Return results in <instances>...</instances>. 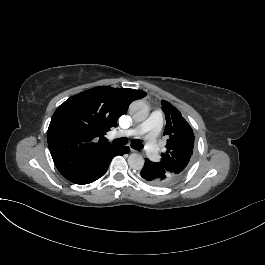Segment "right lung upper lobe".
I'll list each match as a JSON object with an SVG mask.
<instances>
[{
  "label": "right lung upper lobe",
  "mask_w": 265,
  "mask_h": 265,
  "mask_svg": "<svg viewBox=\"0 0 265 265\" xmlns=\"http://www.w3.org/2000/svg\"><path fill=\"white\" fill-rule=\"evenodd\" d=\"M146 96L141 90L96 87L70 97L52 116L48 146L59 172L75 184L94 178L120 147L98 141L129 104Z\"/></svg>",
  "instance_id": "right-lung-upper-lobe-1"
}]
</instances>
